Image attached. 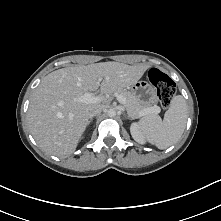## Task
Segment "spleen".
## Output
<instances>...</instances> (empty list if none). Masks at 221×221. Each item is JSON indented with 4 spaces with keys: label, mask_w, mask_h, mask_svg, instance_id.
I'll return each instance as SVG.
<instances>
[{
    "label": "spleen",
    "mask_w": 221,
    "mask_h": 221,
    "mask_svg": "<svg viewBox=\"0 0 221 221\" xmlns=\"http://www.w3.org/2000/svg\"><path fill=\"white\" fill-rule=\"evenodd\" d=\"M187 117L186 101L181 95H177L171 100L163 121L159 115H147L140 120L139 129L149 143L163 150L180 140Z\"/></svg>",
    "instance_id": "3e777b00"
}]
</instances>
